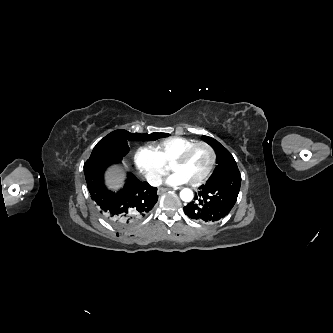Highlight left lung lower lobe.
I'll list each match as a JSON object with an SVG mask.
<instances>
[{"label":"left lung lower lobe","mask_w":333,"mask_h":333,"mask_svg":"<svg viewBox=\"0 0 333 333\" xmlns=\"http://www.w3.org/2000/svg\"><path fill=\"white\" fill-rule=\"evenodd\" d=\"M241 185L239 170L223 173L199 187L194 201L184 207L185 214L202 223L224 218L236 203Z\"/></svg>","instance_id":"left-lung-lower-lobe-1"}]
</instances>
